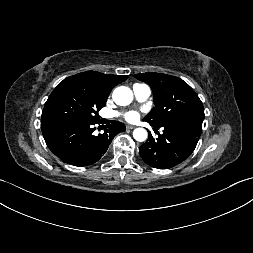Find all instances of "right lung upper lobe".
<instances>
[{
    "label": "right lung upper lobe",
    "mask_w": 253,
    "mask_h": 253,
    "mask_svg": "<svg viewBox=\"0 0 253 253\" xmlns=\"http://www.w3.org/2000/svg\"><path fill=\"white\" fill-rule=\"evenodd\" d=\"M76 75L84 79L98 92L107 96L110 94L114 86L125 81L128 78V76L108 75L96 71H86Z\"/></svg>",
    "instance_id": "obj_1"
}]
</instances>
